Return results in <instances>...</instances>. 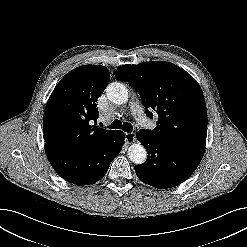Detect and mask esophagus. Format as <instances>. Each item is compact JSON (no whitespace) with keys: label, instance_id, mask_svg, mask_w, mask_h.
<instances>
[{"label":"esophagus","instance_id":"obj_1","mask_svg":"<svg viewBox=\"0 0 247 247\" xmlns=\"http://www.w3.org/2000/svg\"><path fill=\"white\" fill-rule=\"evenodd\" d=\"M124 137H125V141L127 144H131V143L135 142V140H136L135 133H133V132L125 133Z\"/></svg>","mask_w":247,"mask_h":247}]
</instances>
